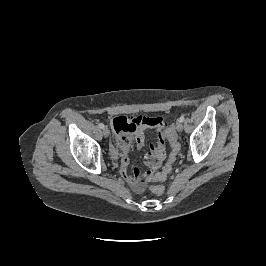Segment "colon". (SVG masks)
Returning <instances> with one entry per match:
<instances>
[{
	"instance_id": "1",
	"label": "colon",
	"mask_w": 266,
	"mask_h": 266,
	"mask_svg": "<svg viewBox=\"0 0 266 266\" xmlns=\"http://www.w3.org/2000/svg\"><path fill=\"white\" fill-rule=\"evenodd\" d=\"M167 139L171 146V153L168 157V160L163 167L161 172H147L146 178L148 181H162L165 180L168 174L171 172L174 163L180 152V144L177 141L176 135L172 129L168 130ZM151 191L156 195H162L165 191V187L163 185L157 184L151 186Z\"/></svg>"
}]
</instances>
